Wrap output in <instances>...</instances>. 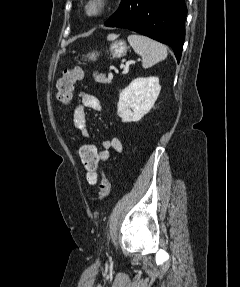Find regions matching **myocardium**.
Wrapping results in <instances>:
<instances>
[{
    "label": "myocardium",
    "instance_id": "myocardium-1",
    "mask_svg": "<svg viewBox=\"0 0 240 287\" xmlns=\"http://www.w3.org/2000/svg\"><path fill=\"white\" fill-rule=\"evenodd\" d=\"M108 6L109 0H86L84 11L90 17H99L106 12Z\"/></svg>",
    "mask_w": 240,
    "mask_h": 287
}]
</instances>
